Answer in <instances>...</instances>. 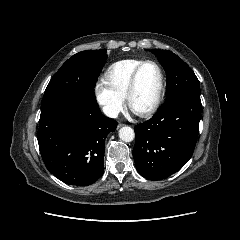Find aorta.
Listing matches in <instances>:
<instances>
[{
	"label": "aorta",
	"mask_w": 240,
	"mask_h": 240,
	"mask_svg": "<svg viewBox=\"0 0 240 240\" xmlns=\"http://www.w3.org/2000/svg\"><path fill=\"white\" fill-rule=\"evenodd\" d=\"M135 137L134 130L131 127L124 126L119 130V138L123 142H131Z\"/></svg>",
	"instance_id": "obj_1"
}]
</instances>
